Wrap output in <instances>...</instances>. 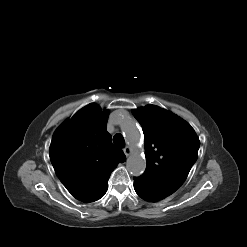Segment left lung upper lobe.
<instances>
[{
	"label": "left lung upper lobe",
	"mask_w": 247,
	"mask_h": 247,
	"mask_svg": "<svg viewBox=\"0 0 247 247\" xmlns=\"http://www.w3.org/2000/svg\"><path fill=\"white\" fill-rule=\"evenodd\" d=\"M143 128L147 166L140 176L169 196L185 181L198 157L199 138L189 123L156 105L133 109Z\"/></svg>",
	"instance_id": "left-lung-upper-lobe-1"
}]
</instances>
